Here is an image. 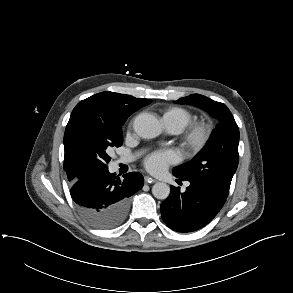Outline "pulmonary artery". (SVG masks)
Wrapping results in <instances>:
<instances>
[{"mask_svg":"<svg viewBox=\"0 0 293 293\" xmlns=\"http://www.w3.org/2000/svg\"><path fill=\"white\" fill-rule=\"evenodd\" d=\"M167 130H168L169 132H171V133H175V131H174L173 129H171V128H167ZM186 186H188V184H186Z\"/></svg>","mask_w":293,"mask_h":293,"instance_id":"pulmonary-artery-1","label":"pulmonary artery"}]
</instances>
